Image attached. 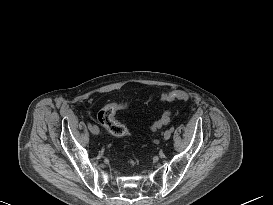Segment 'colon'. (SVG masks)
I'll return each instance as SVG.
<instances>
[{
  "label": "colon",
  "instance_id": "5ec220e1",
  "mask_svg": "<svg viewBox=\"0 0 273 205\" xmlns=\"http://www.w3.org/2000/svg\"><path fill=\"white\" fill-rule=\"evenodd\" d=\"M188 99V95L179 90L171 91L168 93H164L161 96L162 101H186ZM126 107L125 104L120 103H112L105 106L99 113H98V121L99 123L112 135L114 136H127L130 134L129 129L121 124L119 121L116 120L115 115L116 113ZM171 119V114L169 111H165L162 116L155 121L151 126V131H157L163 127H165Z\"/></svg>",
  "mask_w": 273,
  "mask_h": 205
}]
</instances>
